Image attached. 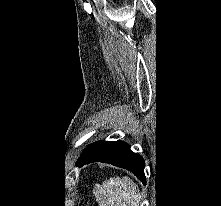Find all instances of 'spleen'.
<instances>
[{
	"label": "spleen",
	"mask_w": 221,
	"mask_h": 206,
	"mask_svg": "<svg viewBox=\"0 0 221 206\" xmlns=\"http://www.w3.org/2000/svg\"><path fill=\"white\" fill-rule=\"evenodd\" d=\"M99 206H139L138 186L129 177H114L94 192Z\"/></svg>",
	"instance_id": "spleen-1"
}]
</instances>
